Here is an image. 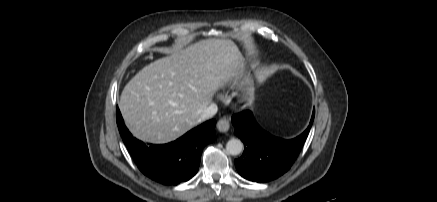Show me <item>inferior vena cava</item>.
Instances as JSON below:
<instances>
[{"label":"inferior vena cava","instance_id":"obj_1","mask_svg":"<svg viewBox=\"0 0 437 202\" xmlns=\"http://www.w3.org/2000/svg\"><path fill=\"white\" fill-rule=\"evenodd\" d=\"M218 111V107L215 103L209 104L200 114L199 122L205 121L213 117Z\"/></svg>","mask_w":437,"mask_h":202}]
</instances>
